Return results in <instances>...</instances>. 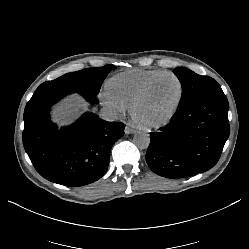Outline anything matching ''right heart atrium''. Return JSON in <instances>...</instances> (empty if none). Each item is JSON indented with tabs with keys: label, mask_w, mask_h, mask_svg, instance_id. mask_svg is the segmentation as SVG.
Wrapping results in <instances>:
<instances>
[{
	"label": "right heart atrium",
	"mask_w": 249,
	"mask_h": 249,
	"mask_svg": "<svg viewBox=\"0 0 249 249\" xmlns=\"http://www.w3.org/2000/svg\"><path fill=\"white\" fill-rule=\"evenodd\" d=\"M101 101L103 105L113 114V115H121L124 114L127 110V106L113 98L106 92L101 96Z\"/></svg>",
	"instance_id": "d8ad5b80"
}]
</instances>
